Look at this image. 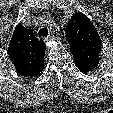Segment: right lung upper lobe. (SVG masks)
Listing matches in <instances>:
<instances>
[{
  "label": "right lung upper lobe",
  "instance_id": "cb5924a9",
  "mask_svg": "<svg viewBox=\"0 0 113 113\" xmlns=\"http://www.w3.org/2000/svg\"><path fill=\"white\" fill-rule=\"evenodd\" d=\"M45 45L32 30L22 24L15 28L8 47V55L16 71L27 77H38L44 67Z\"/></svg>",
  "mask_w": 113,
  "mask_h": 113
}]
</instances>
